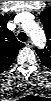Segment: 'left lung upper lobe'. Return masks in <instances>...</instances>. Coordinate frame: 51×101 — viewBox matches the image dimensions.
Segmentation results:
<instances>
[{
  "label": "left lung upper lobe",
  "mask_w": 51,
  "mask_h": 101,
  "mask_svg": "<svg viewBox=\"0 0 51 101\" xmlns=\"http://www.w3.org/2000/svg\"><path fill=\"white\" fill-rule=\"evenodd\" d=\"M40 20L44 26L47 36V47L44 49L35 48L42 63L50 68L51 67V8H47L40 14Z\"/></svg>",
  "instance_id": "obj_1"
}]
</instances>
